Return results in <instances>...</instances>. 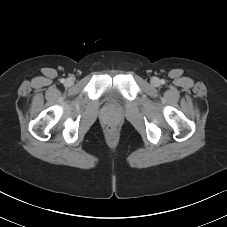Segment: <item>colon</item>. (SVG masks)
Wrapping results in <instances>:
<instances>
[{
    "label": "colon",
    "instance_id": "colon-1",
    "mask_svg": "<svg viewBox=\"0 0 227 227\" xmlns=\"http://www.w3.org/2000/svg\"><path fill=\"white\" fill-rule=\"evenodd\" d=\"M106 132L109 134V135H114L115 133V127L112 126V125H108L107 128H106Z\"/></svg>",
    "mask_w": 227,
    "mask_h": 227
}]
</instances>
